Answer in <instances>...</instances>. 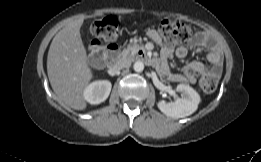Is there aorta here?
I'll list each match as a JSON object with an SVG mask.
<instances>
[{
    "instance_id": "obj_1",
    "label": "aorta",
    "mask_w": 261,
    "mask_h": 162,
    "mask_svg": "<svg viewBox=\"0 0 261 162\" xmlns=\"http://www.w3.org/2000/svg\"><path fill=\"white\" fill-rule=\"evenodd\" d=\"M134 71L142 72L144 70V64L142 61H136L133 65Z\"/></svg>"
}]
</instances>
